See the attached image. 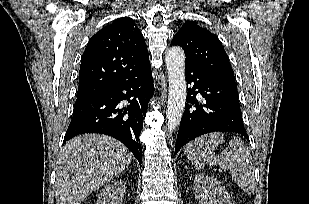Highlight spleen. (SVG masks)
I'll return each instance as SVG.
<instances>
[{
    "label": "spleen",
    "instance_id": "spleen-1",
    "mask_svg": "<svg viewBox=\"0 0 309 204\" xmlns=\"http://www.w3.org/2000/svg\"><path fill=\"white\" fill-rule=\"evenodd\" d=\"M222 143H224L222 133H210L188 143L184 152L195 168L203 169L206 164L219 165L230 171L232 179L244 192L253 193L254 166L248 148L241 139L233 137L228 146L216 156L213 151Z\"/></svg>",
    "mask_w": 309,
    "mask_h": 204
}]
</instances>
